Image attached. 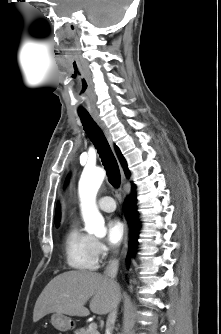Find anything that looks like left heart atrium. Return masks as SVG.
I'll return each instance as SVG.
<instances>
[{
  "instance_id": "39dd6f15",
  "label": "left heart atrium",
  "mask_w": 221,
  "mask_h": 334,
  "mask_svg": "<svg viewBox=\"0 0 221 334\" xmlns=\"http://www.w3.org/2000/svg\"><path fill=\"white\" fill-rule=\"evenodd\" d=\"M125 236V227L119 218H111L107 222V240L110 245L118 246Z\"/></svg>"
}]
</instances>
